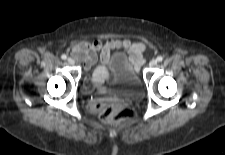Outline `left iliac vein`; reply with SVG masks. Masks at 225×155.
<instances>
[{"instance_id":"4c4485c4","label":"left iliac vein","mask_w":225,"mask_h":155,"mask_svg":"<svg viewBox=\"0 0 225 155\" xmlns=\"http://www.w3.org/2000/svg\"><path fill=\"white\" fill-rule=\"evenodd\" d=\"M157 65V60H155V59H152L150 62H149V66L150 67H154V66H156Z\"/></svg>"}]
</instances>
